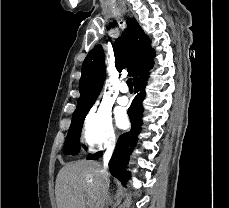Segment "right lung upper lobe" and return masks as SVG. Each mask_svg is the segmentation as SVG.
I'll return each instance as SVG.
<instances>
[{
  "instance_id": "cb5924a9",
  "label": "right lung upper lobe",
  "mask_w": 229,
  "mask_h": 208,
  "mask_svg": "<svg viewBox=\"0 0 229 208\" xmlns=\"http://www.w3.org/2000/svg\"><path fill=\"white\" fill-rule=\"evenodd\" d=\"M126 35L119 37L114 45L115 66L118 71L128 68V75L135 81L153 67L154 49L149 37L136 19L127 20ZM105 58L101 45H96L86 56L79 82L80 97L72 120L85 118L98 97L105 79Z\"/></svg>"
}]
</instances>
